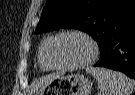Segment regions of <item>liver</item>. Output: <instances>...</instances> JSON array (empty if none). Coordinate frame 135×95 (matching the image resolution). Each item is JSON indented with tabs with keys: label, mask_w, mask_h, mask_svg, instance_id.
Here are the masks:
<instances>
[{
	"label": "liver",
	"mask_w": 135,
	"mask_h": 95,
	"mask_svg": "<svg viewBox=\"0 0 135 95\" xmlns=\"http://www.w3.org/2000/svg\"><path fill=\"white\" fill-rule=\"evenodd\" d=\"M58 75L52 74L44 77L42 80L38 81L34 86H33V91L38 90L39 88L45 86L50 80H53L57 78Z\"/></svg>",
	"instance_id": "obj_1"
}]
</instances>
